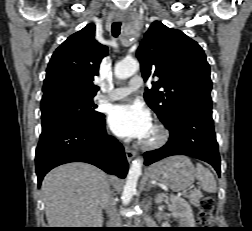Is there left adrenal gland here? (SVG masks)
Returning <instances> with one entry per match:
<instances>
[{"label": "left adrenal gland", "instance_id": "1", "mask_svg": "<svg viewBox=\"0 0 252 231\" xmlns=\"http://www.w3.org/2000/svg\"><path fill=\"white\" fill-rule=\"evenodd\" d=\"M152 187H153V185L150 183V181H148L146 191H149L150 188H152Z\"/></svg>", "mask_w": 252, "mask_h": 231}]
</instances>
